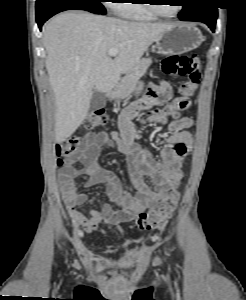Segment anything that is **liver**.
<instances>
[{"instance_id": "6515ba94", "label": "liver", "mask_w": 246, "mask_h": 300, "mask_svg": "<svg viewBox=\"0 0 246 300\" xmlns=\"http://www.w3.org/2000/svg\"><path fill=\"white\" fill-rule=\"evenodd\" d=\"M86 12H64L43 29L46 69L55 96V140L63 142L87 116L93 89L112 91L170 27ZM118 49L115 59L108 55Z\"/></svg>"}]
</instances>
